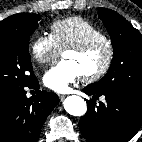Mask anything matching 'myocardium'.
<instances>
[{"label": "myocardium", "instance_id": "1", "mask_svg": "<svg viewBox=\"0 0 142 142\" xmlns=\"http://www.w3.org/2000/svg\"><path fill=\"white\" fill-rule=\"evenodd\" d=\"M99 45H103L106 48L107 55H106L105 62L102 65V67L96 72L82 76V80L86 83H92V82H96L100 80L110 70L113 63L114 54H115L114 47L111 41L109 39H104V38H92L84 42L69 46L64 49L63 53L67 51H73L77 53H86Z\"/></svg>", "mask_w": 142, "mask_h": 142}]
</instances>
